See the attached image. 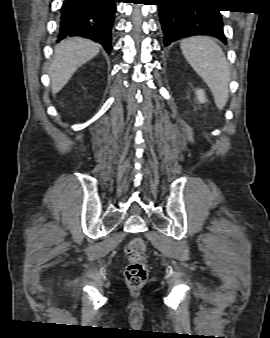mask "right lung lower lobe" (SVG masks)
Listing matches in <instances>:
<instances>
[{
  "mask_svg": "<svg viewBox=\"0 0 270 338\" xmlns=\"http://www.w3.org/2000/svg\"><path fill=\"white\" fill-rule=\"evenodd\" d=\"M117 1L64 0L57 41L69 36H81L101 44L110 53Z\"/></svg>",
  "mask_w": 270,
  "mask_h": 338,
  "instance_id": "98d812e1",
  "label": "right lung lower lobe"
}]
</instances>
